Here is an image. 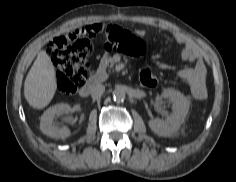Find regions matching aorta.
<instances>
[{
    "mask_svg": "<svg viewBox=\"0 0 236 182\" xmlns=\"http://www.w3.org/2000/svg\"><path fill=\"white\" fill-rule=\"evenodd\" d=\"M112 95H113V99L118 102L124 101V99L126 97V93H125L124 89H122V88L114 89Z\"/></svg>",
    "mask_w": 236,
    "mask_h": 182,
    "instance_id": "1",
    "label": "aorta"
}]
</instances>
